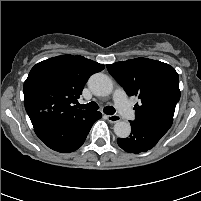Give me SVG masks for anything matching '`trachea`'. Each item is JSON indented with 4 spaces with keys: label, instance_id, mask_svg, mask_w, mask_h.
<instances>
[{
    "label": "trachea",
    "instance_id": "obj_1",
    "mask_svg": "<svg viewBox=\"0 0 201 201\" xmlns=\"http://www.w3.org/2000/svg\"><path fill=\"white\" fill-rule=\"evenodd\" d=\"M81 108L91 110V111H96V110H98L99 106L96 102L92 101L85 105H81ZM103 111L107 115H113L115 113V108L113 106H107V107H104Z\"/></svg>",
    "mask_w": 201,
    "mask_h": 201
}]
</instances>
